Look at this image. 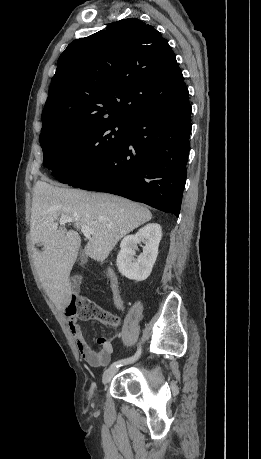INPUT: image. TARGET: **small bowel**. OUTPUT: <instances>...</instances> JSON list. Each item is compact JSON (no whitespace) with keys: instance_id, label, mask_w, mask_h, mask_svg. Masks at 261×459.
<instances>
[{"instance_id":"small-bowel-1","label":"small bowel","mask_w":261,"mask_h":459,"mask_svg":"<svg viewBox=\"0 0 261 459\" xmlns=\"http://www.w3.org/2000/svg\"><path fill=\"white\" fill-rule=\"evenodd\" d=\"M106 272L110 279V289L112 292L114 304L119 310L124 311V300L117 284V280L110 269H106ZM68 327L76 341L80 355L89 365L93 367H100L105 366L110 362L113 354V346L109 338H98L97 343L100 349L95 351L88 344L82 328L75 318L71 317L68 320Z\"/></svg>"}]
</instances>
